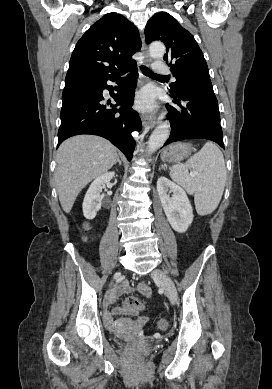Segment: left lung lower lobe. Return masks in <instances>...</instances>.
<instances>
[{"label": "left lung lower lobe", "instance_id": "0a47b994", "mask_svg": "<svg viewBox=\"0 0 272 389\" xmlns=\"http://www.w3.org/2000/svg\"><path fill=\"white\" fill-rule=\"evenodd\" d=\"M170 96L177 107L167 105L171 135L165 145L199 138L214 141L224 148L218 102L212 83L184 84Z\"/></svg>", "mask_w": 272, "mask_h": 389}]
</instances>
